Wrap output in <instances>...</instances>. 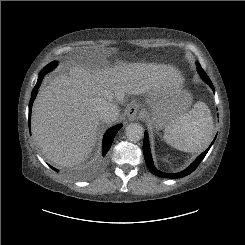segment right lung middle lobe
Listing matches in <instances>:
<instances>
[{
  "instance_id": "obj_1",
  "label": "right lung middle lobe",
  "mask_w": 245,
  "mask_h": 245,
  "mask_svg": "<svg viewBox=\"0 0 245 245\" xmlns=\"http://www.w3.org/2000/svg\"><path fill=\"white\" fill-rule=\"evenodd\" d=\"M56 65H57V62L56 61H53L50 64L46 65L42 71L49 72L52 69H54Z\"/></svg>"
}]
</instances>
